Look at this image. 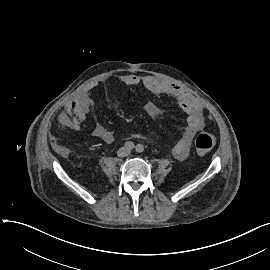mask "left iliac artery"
<instances>
[{"instance_id":"44dca946","label":"left iliac artery","mask_w":270,"mask_h":270,"mask_svg":"<svg viewBox=\"0 0 270 270\" xmlns=\"http://www.w3.org/2000/svg\"><path fill=\"white\" fill-rule=\"evenodd\" d=\"M136 151H137L138 153H141V152L144 151V147H143L141 144H138V145L136 146Z\"/></svg>"}]
</instances>
